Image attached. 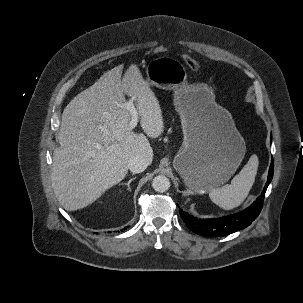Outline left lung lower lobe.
Returning <instances> with one entry per match:
<instances>
[{
    "label": "left lung lower lobe",
    "mask_w": 303,
    "mask_h": 303,
    "mask_svg": "<svg viewBox=\"0 0 303 303\" xmlns=\"http://www.w3.org/2000/svg\"><path fill=\"white\" fill-rule=\"evenodd\" d=\"M273 171L274 163L272 160L269 168L268 180L261 196H259L256 201H254L253 204L244 211L216 219H197L183 210H180V215L183 221L193 232L207 237L225 236L246 228L257 218L262 209L265 192L272 180Z\"/></svg>",
    "instance_id": "left-lung-lower-lobe-1"
}]
</instances>
